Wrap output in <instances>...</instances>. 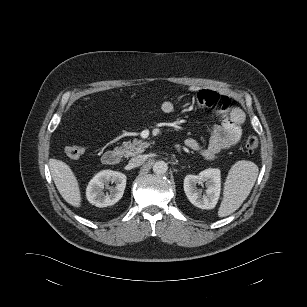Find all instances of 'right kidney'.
<instances>
[{"mask_svg": "<svg viewBox=\"0 0 307 307\" xmlns=\"http://www.w3.org/2000/svg\"><path fill=\"white\" fill-rule=\"evenodd\" d=\"M126 175L112 170L98 172L88 183L86 196L88 201L97 207H107L117 203L123 196L126 187ZM115 183L110 193H104L103 189L109 184Z\"/></svg>", "mask_w": 307, "mask_h": 307, "instance_id": "ca27d5eb", "label": "right kidney"}]
</instances>
